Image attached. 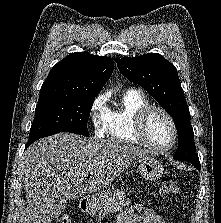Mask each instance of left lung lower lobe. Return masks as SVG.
I'll list each match as a JSON object with an SVG mask.
<instances>
[{"instance_id":"1","label":"left lung lower lobe","mask_w":221,"mask_h":223,"mask_svg":"<svg viewBox=\"0 0 221 223\" xmlns=\"http://www.w3.org/2000/svg\"><path fill=\"white\" fill-rule=\"evenodd\" d=\"M199 171H200V164L196 163V164H193Z\"/></svg>"}]
</instances>
